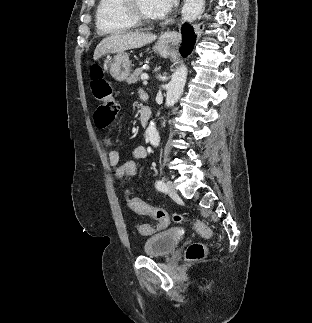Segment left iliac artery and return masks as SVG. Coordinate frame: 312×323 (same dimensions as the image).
Segmentation results:
<instances>
[{"mask_svg": "<svg viewBox=\"0 0 312 323\" xmlns=\"http://www.w3.org/2000/svg\"><path fill=\"white\" fill-rule=\"evenodd\" d=\"M156 188L158 190H164L165 189V183L162 180H158L156 182Z\"/></svg>", "mask_w": 312, "mask_h": 323, "instance_id": "left-iliac-artery-1", "label": "left iliac artery"}]
</instances>
